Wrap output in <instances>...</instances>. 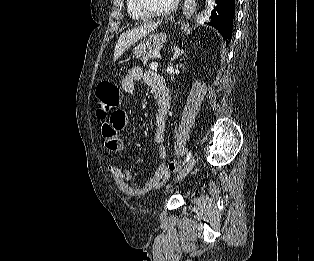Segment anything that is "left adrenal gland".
Here are the masks:
<instances>
[{
	"mask_svg": "<svg viewBox=\"0 0 314 261\" xmlns=\"http://www.w3.org/2000/svg\"><path fill=\"white\" fill-rule=\"evenodd\" d=\"M183 53H184L183 49H180L178 46L174 47V53H173V57L171 58V61H174Z\"/></svg>",
	"mask_w": 314,
	"mask_h": 261,
	"instance_id": "1",
	"label": "left adrenal gland"
}]
</instances>
